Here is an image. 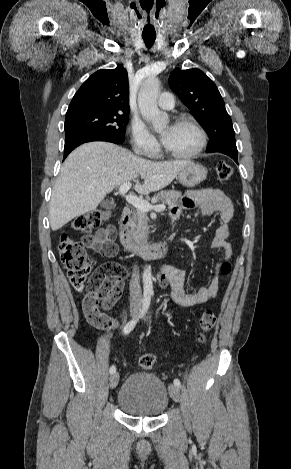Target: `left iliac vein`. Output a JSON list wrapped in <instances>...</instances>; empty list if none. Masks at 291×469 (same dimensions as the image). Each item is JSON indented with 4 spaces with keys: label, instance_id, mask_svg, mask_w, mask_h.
Listing matches in <instances>:
<instances>
[{
    "label": "left iliac vein",
    "instance_id": "1",
    "mask_svg": "<svg viewBox=\"0 0 291 469\" xmlns=\"http://www.w3.org/2000/svg\"><path fill=\"white\" fill-rule=\"evenodd\" d=\"M144 320H147V317L144 318ZM169 391H170V395L172 397V399L175 401V402H179L180 401V390H179V387L176 386L175 384H171L169 386Z\"/></svg>",
    "mask_w": 291,
    "mask_h": 469
}]
</instances>
